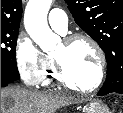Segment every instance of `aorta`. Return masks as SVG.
Returning a JSON list of instances; mask_svg holds the SVG:
<instances>
[{
  "instance_id": "762f6f07",
  "label": "aorta",
  "mask_w": 123,
  "mask_h": 113,
  "mask_svg": "<svg viewBox=\"0 0 123 113\" xmlns=\"http://www.w3.org/2000/svg\"><path fill=\"white\" fill-rule=\"evenodd\" d=\"M52 0H29L24 14L27 33L44 52L56 48L59 37L52 32L47 23V14Z\"/></svg>"
}]
</instances>
